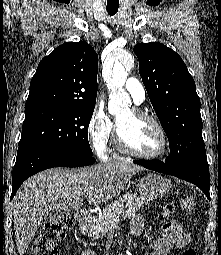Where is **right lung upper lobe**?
<instances>
[{
	"mask_svg": "<svg viewBox=\"0 0 221 255\" xmlns=\"http://www.w3.org/2000/svg\"><path fill=\"white\" fill-rule=\"evenodd\" d=\"M98 55L86 42H67L44 57L30 83L25 112L95 105Z\"/></svg>",
	"mask_w": 221,
	"mask_h": 255,
	"instance_id": "right-lung-upper-lobe-1",
	"label": "right lung upper lobe"
}]
</instances>
